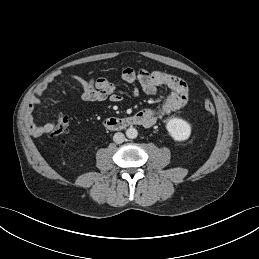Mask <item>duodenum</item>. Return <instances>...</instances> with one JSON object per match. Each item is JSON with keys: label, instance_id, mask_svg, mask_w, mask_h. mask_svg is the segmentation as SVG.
Returning <instances> with one entry per match:
<instances>
[{"label": "duodenum", "instance_id": "410a0bca", "mask_svg": "<svg viewBox=\"0 0 259 259\" xmlns=\"http://www.w3.org/2000/svg\"><path fill=\"white\" fill-rule=\"evenodd\" d=\"M143 122L138 115L120 117V118H107L103 125L109 130H120L133 125H142Z\"/></svg>", "mask_w": 259, "mask_h": 259}]
</instances>
